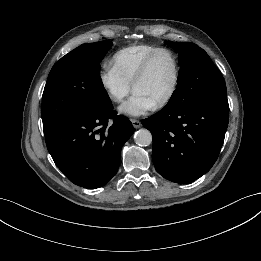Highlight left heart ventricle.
<instances>
[{"instance_id": "1", "label": "left heart ventricle", "mask_w": 261, "mask_h": 261, "mask_svg": "<svg viewBox=\"0 0 261 261\" xmlns=\"http://www.w3.org/2000/svg\"><path fill=\"white\" fill-rule=\"evenodd\" d=\"M174 77V64L167 53H159L153 59L146 77L134 88L149 98L154 104L158 103L168 93Z\"/></svg>"}]
</instances>
